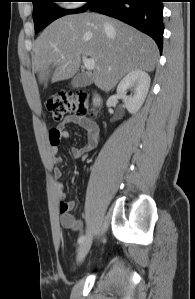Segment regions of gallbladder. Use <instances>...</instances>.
<instances>
[{"label": "gallbladder", "mask_w": 195, "mask_h": 299, "mask_svg": "<svg viewBox=\"0 0 195 299\" xmlns=\"http://www.w3.org/2000/svg\"><path fill=\"white\" fill-rule=\"evenodd\" d=\"M91 83V78L83 73H78L71 80L73 88L85 87Z\"/></svg>", "instance_id": "obj_1"}]
</instances>
